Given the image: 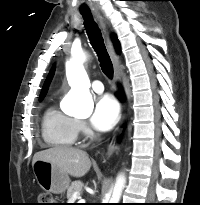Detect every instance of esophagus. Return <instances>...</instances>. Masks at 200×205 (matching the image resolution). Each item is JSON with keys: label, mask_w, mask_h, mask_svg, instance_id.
Segmentation results:
<instances>
[{"label": "esophagus", "mask_w": 200, "mask_h": 205, "mask_svg": "<svg viewBox=\"0 0 200 205\" xmlns=\"http://www.w3.org/2000/svg\"><path fill=\"white\" fill-rule=\"evenodd\" d=\"M95 18L97 19V21L99 22V24L101 25V27L105 30L106 28V24L104 21V18L102 17V15L100 13H95ZM106 41H107V49L108 52L110 54V57L112 59L113 62V66H114V78L116 81H120L121 75H120V59L118 54L115 52V49L113 47V44L110 40V38L107 36L106 37ZM125 108V105H124ZM126 112L123 115V119L121 124L125 121L126 119ZM121 131V127H118L117 130L115 131L109 145H108V149L106 152V159L110 158L112 156V154L118 149V144H117V139H118V135Z\"/></svg>", "instance_id": "obj_1"}]
</instances>
